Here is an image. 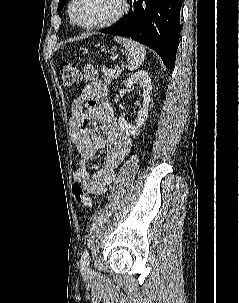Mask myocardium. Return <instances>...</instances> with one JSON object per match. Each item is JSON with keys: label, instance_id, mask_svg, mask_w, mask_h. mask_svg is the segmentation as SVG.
Segmentation results:
<instances>
[{"label": "myocardium", "instance_id": "1", "mask_svg": "<svg viewBox=\"0 0 239 303\" xmlns=\"http://www.w3.org/2000/svg\"><path fill=\"white\" fill-rule=\"evenodd\" d=\"M79 0H72L71 6H70V17L72 22L82 28V29H86V30H94V29H101V28H106L109 26H112L114 24H116L117 22H119L129 11L130 5H129V0H120V10L119 12L114 15L113 17H111L110 19H107L105 21L102 22H98V23H93V24H82L77 16H76V6L78 4Z\"/></svg>", "mask_w": 239, "mask_h": 303}]
</instances>
